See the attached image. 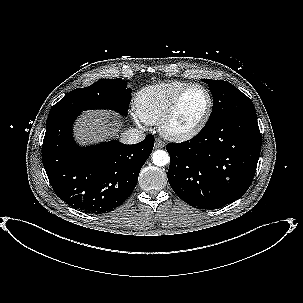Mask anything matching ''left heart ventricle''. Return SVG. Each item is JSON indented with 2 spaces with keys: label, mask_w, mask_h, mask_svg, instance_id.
Segmentation results:
<instances>
[{
  "label": "left heart ventricle",
  "mask_w": 303,
  "mask_h": 303,
  "mask_svg": "<svg viewBox=\"0 0 303 303\" xmlns=\"http://www.w3.org/2000/svg\"><path fill=\"white\" fill-rule=\"evenodd\" d=\"M207 107V96L200 88H193L184 97L175 117L171 122L174 130H186L194 126L202 117Z\"/></svg>",
  "instance_id": "b2bd125f"
}]
</instances>
